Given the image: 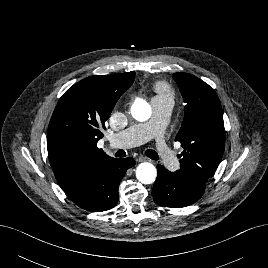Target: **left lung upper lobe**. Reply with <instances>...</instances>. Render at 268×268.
<instances>
[{"label":"left lung upper lobe","instance_id":"1","mask_svg":"<svg viewBox=\"0 0 268 268\" xmlns=\"http://www.w3.org/2000/svg\"><path fill=\"white\" fill-rule=\"evenodd\" d=\"M183 96L185 117L175 138L184 151L176 171L197 187L205 189L214 174L225 148V129L220 100L201 79L188 73H175Z\"/></svg>","mask_w":268,"mask_h":268}]
</instances>
